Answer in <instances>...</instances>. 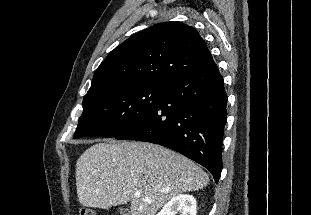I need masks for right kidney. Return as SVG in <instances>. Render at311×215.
Wrapping results in <instances>:
<instances>
[{
	"label": "right kidney",
	"mask_w": 311,
	"mask_h": 215,
	"mask_svg": "<svg viewBox=\"0 0 311 215\" xmlns=\"http://www.w3.org/2000/svg\"><path fill=\"white\" fill-rule=\"evenodd\" d=\"M197 202L192 195L180 194L168 201L157 215H196Z\"/></svg>",
	"instance_id": "obj_1"
}]
</instances>
